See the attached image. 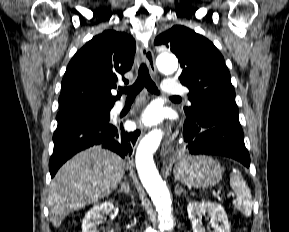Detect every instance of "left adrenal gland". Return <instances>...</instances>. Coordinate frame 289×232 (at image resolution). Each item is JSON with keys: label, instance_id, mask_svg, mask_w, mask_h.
<instances>
[{"label": "left adrenal gland", "instance_id": "obj_1", "mask_svg": "<svg viewBox=\"0 0 289 232\" xmlns=\"http://www.w3.org/2000/svg\"><path fill=\"white\" fill-rule=\"evenodd\" d=\"M182 192H185V191L183 190V188H182L181 186H179V185H176V187H175V194L180 196Z\"/></svg>", "mask_w": 289, "mask_h": 232}]
</instances>
